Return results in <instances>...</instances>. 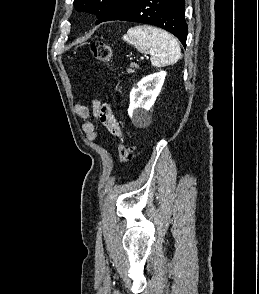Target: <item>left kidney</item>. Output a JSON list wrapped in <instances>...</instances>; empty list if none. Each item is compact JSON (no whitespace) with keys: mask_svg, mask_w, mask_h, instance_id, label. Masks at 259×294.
I'll list each match as a JSON object with an SVG mask.
<instances>
[{"mask_svg":"<svg viewBox=\"0 0 259 294\" xmlns=\"http://www.w3.org/2000/svg\"><path fill=\"white\" fill-rule=\"evenodd\" d=\"M166 72L161 71L142 78L137 87L130 92L129 116L138 123L140 117L146 118L154 105L165 80Z\"/></svg>","mask_w":259,"mask_h":294,"instance_id":"obj_1","label":"left kidney"}]
</instances>
